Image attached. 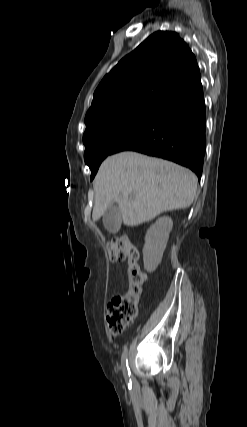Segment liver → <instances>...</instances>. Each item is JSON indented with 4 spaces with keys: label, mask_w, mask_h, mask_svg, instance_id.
Here are the masks:
<instances>
[{
    "label": "liver",
    "mask_w": 247,
    "mask_h": 427,
    "mask_svg": "<svg viewBox=\"0 0 247 427\" xmlns=\"http://www.w3.org/2000/svg\"><path fill=\"white\" fill-rule=\"evenodd\" d=\"M93 221L117 202L126 226H138L159 214L188 208L197 177L173 162L125 151L106 158L94 179Z\"/></svg>",
    "instance_id": "obj_1"
}]
</instances>
